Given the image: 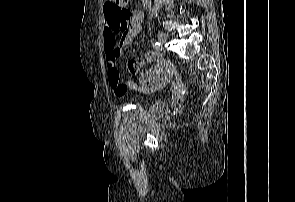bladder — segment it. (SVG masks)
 Listing matches in <instances>:
<instances>
[{"mask_svg":"<svg viewBox=\"0 0 295 202\" xmlns=\"http://www.w3.org/2000/svg\"><path fill=\"white\" fill-rule=\"evenodd\" d=\"M147 113L153 118H160L168 113V107L161 101H153L147 107Z\"/></svg>","mask_w":295,"mask_h":202,"instance_id":"bladder-1","label":"bladder"}]
</instances>
